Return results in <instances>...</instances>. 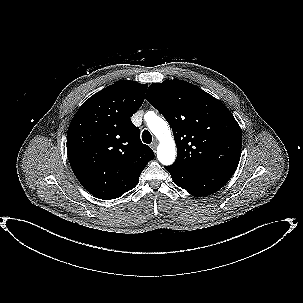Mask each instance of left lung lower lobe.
I'll use <instances>...</instances> for the list:
<instances>
[{
  "label": "left lung lower lobe",
  "instance_id": "obj_1",
  "mask_svg": "<svg viewBox=\"0 0 303 303\" xmlns=\"http://www.w3.org/2000/svg\"><path fill=\"white\" fill-rule=\"evenodd\" d=\"M174 183L195 197L207 196L221 189L232 177V171H185L172 166L165 167Z\"/></svg>",
  "mask_w": 303,
  "mask_h": 303
}]
</instances>
